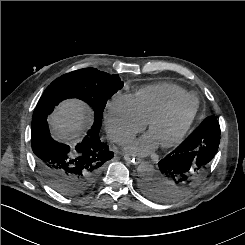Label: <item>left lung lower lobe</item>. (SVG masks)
Returning a JSON list of instances; mask_svg holds the SVG:
<instances>
[{
  "label": "left lung lower lobe",
  "mask_w": 245,
  "mask_h": 245,
  "mask_svg": "<svg viewBox=\"0 0 245 245\" xmlns=\"http://www.w3.org/2000/svg\"><path fill=\"white\" fill-rule=\"evenodd\" d=\"M220 143L217 119L207 117L175 150L158 163L152 181L143 192L155 200L173 199L193 186L214 158Z\"/></svg>",
  "instance_id": "1"
}]
</instances>
